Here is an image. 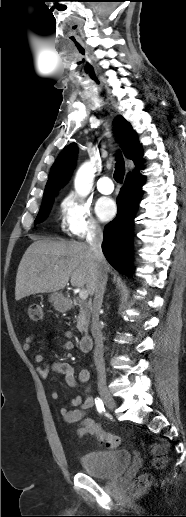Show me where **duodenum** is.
I'll return each instance as SVG.
<instances>
[{
	"mask_svg": "<svg viewBox=\"0 0 186 517\" xmlns=\"http://www.w3.org/2000/svg\"><path fill=\"white\" fill-rule=\"evenodd\" d=\"M79 346L81 351L89 352L93 346V338L89 333L84 334L79 340Z\"/></svg>",
	"mask_w": 186,
	"mask_h": 517,
	"instance_id": "duodenum-1",
	"label": "duodenum"
}]
</instances>
